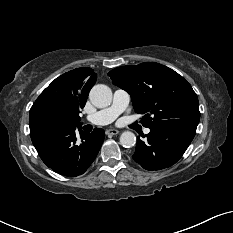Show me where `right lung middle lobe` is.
Returning a JSON list of instances; mask_svg holds the SVG:
<instances>
[{"label": "right lung middle lobe", "instance_id": "right-lung-middle-lobe-1", "mask_svg": "<svg viewBox=\"0 0 233 233\" xmlns=\"http://www.w3.org/2000/svg\"><path fill=\"white\" fill-rule=\"evenodd\" d=\"M62 111L53 106H47L41 109L36 116L32 126L38 128L64 129L75 126Z\"/></svg>", "mask_w": 233, "mask_h": 233}]
</instances>
